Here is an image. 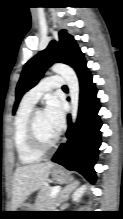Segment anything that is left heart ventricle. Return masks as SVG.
Here are the masks:
<instances>
[{
	"instance_id": "1",
	"label": "left heart ventricle",
	"mask_w": 123,
	"mask_h": 219,
	"mask_svg": "<svg viewBox=\"0 0 123 219\" xmlns=\"http://www.w3.org/2000/svg\"><path fill=\"white\" fill-rule=\"evenodd\" d=\"M36 129L39 138L45 144L50 143L57 135L49 125L43 111H38L36 114Z\"/></svg>"
}]
</instances>
